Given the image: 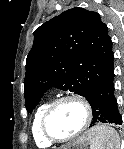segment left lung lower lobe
Here are the masks:
<instances>
[{
    "label": "left lung lower lobe",
    "mask_w": 124,
    "mask_h": 149,
    "mask_svg": "<svg viewBox=\"0 0 124 149\" xmlns=\"http://www.w3.org/2000/svg\"><path fill=\"white\" fill-rule=\"evenodd\" d=\"M113 79L114 71L94 86L85 97L92 108L93 118L90 127L100 122L122 125V117L114 95Z\"/></svg>",
    "instance_id": "left-lung-lower-lobe-1"
}]
</instances>
